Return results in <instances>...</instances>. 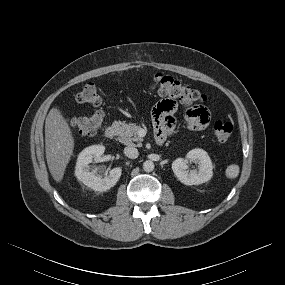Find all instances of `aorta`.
I'll return each instance as SVG.
<instances>
[{
    "instance_id": "1",
    "label": "aorta",
    "mask_w": 285,
    "mask_h": 285,
    "mask_svg": "<svg viewBox=\"0 0 285 285\" xmlns=\"http://www.w3.org/2000/svg\"><path fill=\"white\" fill-rule=\"evenodd\" d=\"M154 167V163L151 160H147L143 163V170L146 172H152Z\"/></svg>"
}]
</instances>
